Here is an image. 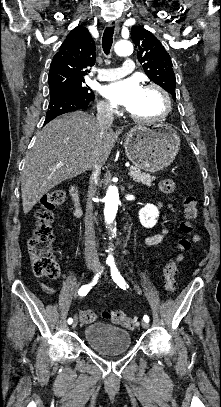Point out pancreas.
<instances>
[{"instance_id":"1","label":"pancreas","mask_w":221,"mask_h":407,"mask_svg":"<svg viewBox=\"0 0 221 407\" xmlns=\"http://www.w3.org/2000/svg\"><path fill=\"white\" fill-rule=\"evenodd\" d=\"M131 171L134 172V174L132 175L133 179L137 182H141L142 184L151 187L153 186V180L154 177H152L150 174L144 173L142 172L139 168L137 167H131L130 168Z\"/></svg>"}]
</instances>
